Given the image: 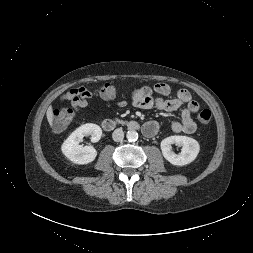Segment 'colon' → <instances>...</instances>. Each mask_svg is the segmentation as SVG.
Returning a JSON list of instances; mask_svg holds the SVG:
<instances>
[{
	"label": "colon",
	"instance_id": "colon-1",
	"mask_svg": "<svg viewBox=\"0 0 253 253\" xmlns=\"http://www.w3.org/2000/svg\"><path fill=\"white\" fill-rule=\"evenodd\" d=\"M98 92L102 98L111 99L117 95L118 90L114 85L105 83L99 88ZM73 117L74 112L70 108L55 109L53 111V129L56 132L65 130L71 124ZM197 120L202 125L209 124L211 112L208 109L200 111L197 115Z\"/></svg>",
	"mask_w": 253,
	"mask_h": 253
}]
</instances>
